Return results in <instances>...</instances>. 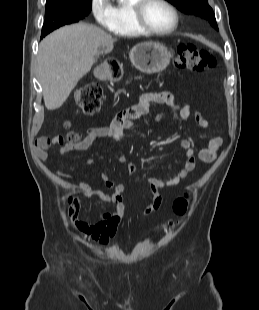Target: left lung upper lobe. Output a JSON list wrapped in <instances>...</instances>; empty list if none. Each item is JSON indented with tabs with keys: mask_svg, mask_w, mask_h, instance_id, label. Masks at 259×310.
<instances>
[{
	"mask_svg": "<svg viewBox=\"0 0 259 310\" xmlns=\"http://www.w3.org/2000/svg\"><path fill=\"white\" fill-rule=\"evenodd\" d=\"M175 5L179 10L186 14L200 16L210 22L218 30L215 15L212 8L208 5V0H167Z\"/></svg>",
	"mask_w": 259,
	"mask_h": 310,
	"instance_id": "left-lung-upper-lobe-1",
	"label": "left lung upper lobe"
}]
</instances>
